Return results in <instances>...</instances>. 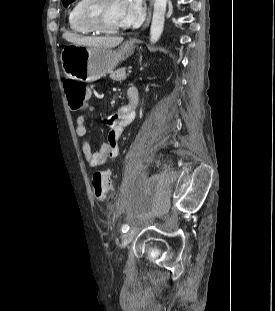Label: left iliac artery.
<instances>
[{
  "label": "left iliac artery",
  "mask_w": 275,
  "mask_h": 311,
  "mask_svg": "<svg viewBox=\"0 0 275 311\" xmlns=\"http://www.w3.org/2000/svg\"><path fill=\"white\" fill-rule=\"evenodd\" d=\"M122 232L123 233H126L128 230H129V225L128 224H124L123 226H122Z\"/></svg>",
  "instance_id": "44dca946"
}]
</instances>
